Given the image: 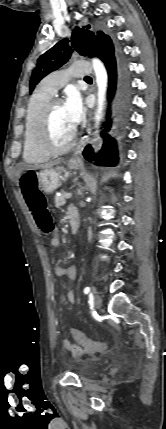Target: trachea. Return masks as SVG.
<instances>
[{
	"label": "trachea",
	"mask_w": 166,
	"mask_h": 429,
	"mask_svg": "<svg viewBox=\"0 0 166 429\" xmlns=\"http://www.w3.org/2000/svg\"><path fill=\"white\" fill-rule=\"evenodd\" d=\"M85 79H90V77H89V76H86V77H85Z\"/></svg>",
	"instance_id": "obj_1"
}]
</instances>
